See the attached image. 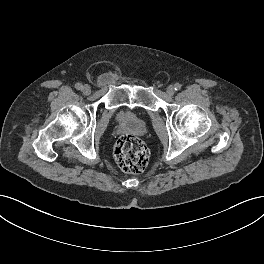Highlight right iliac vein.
I'll list each match as a JSON object with an SVG mask.
<instances>
[{"label":"right iliac vein","mask_w":264,"mask_h":264,"mask_svg":"<svg viewBox=\"0 0 264 264\" xmlns=\"http://www.w3.org/2000/svg\"><path fill=\"white\" fill-rule=\"evenodd\" d=\"M82 92L83 94L85 95H89L91 93V88L89 85H84L83 88H82Z\"/></svg>","instance_id":"obj_1"}]
</instances>
